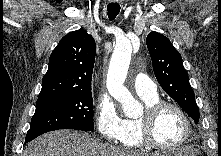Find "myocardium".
Returning <instances> with one entry per match:
<instances>
[{
    "label": "myocardium",
    "mask_w": 221,
    "mask_h": 156,
    "mask_svg": "<svg viewBox=\"0 0 221 156\" xmlns=\"http://www.w3.org/2000/svg\"><path fill=\"white\" fill-rule=\"evenodd\" d=\"M166 109H173L181 116L185 125V133L181 141L174 146H165L160 144L154 137V126L160 114ZM192 133V125L189 116L185 110L178 104L170 101H157L146 107L143 115L138 118V135L141 142L149 147L172 151L181 148L189 140Z\"/></svg>",
    "instance_id": "f54148a6"
}]
</instances>
